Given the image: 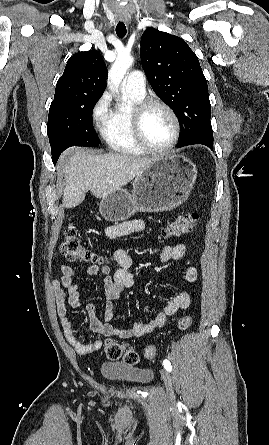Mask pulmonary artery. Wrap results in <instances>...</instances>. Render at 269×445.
<instances>
[{
    "label": "pulmonary artery",
    "mask_w": 269,
    "mask_h": 445,
    "mask_svg": "<svg viewBox=\"0 0 269 445\" xmlns=\"http://www.w3.org/2000/svg\"><path fill=\"white\" fill-rule=\"evenodd\" d=\"M122 88L125 91H130L136 95H145V78L142 72L133 71L129 73L122 83Z\"/></svg>",
    "instance_id": "pulmonary-artery-1"
}]
</instances>
